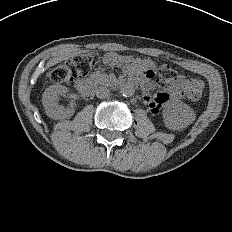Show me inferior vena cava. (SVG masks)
Masks as SVG:
<instances>
[{
  "label": "inferior vena cava",
  "mask_w": 232,
  "mask_h": 232,
  "mask_svg": "<svg viewBox=\"0 0 232 232\" xmlns=\"http://www.w3.org/2000/svg\"><path fill=\"white\" fill-rule=\"evenodd\" d=\"M96 96L100 99L107 98L108 96H110V91L106 87H98L96 89Z\"/></svg>",
  "instance_id": "602c4592"
}]
</instances>
